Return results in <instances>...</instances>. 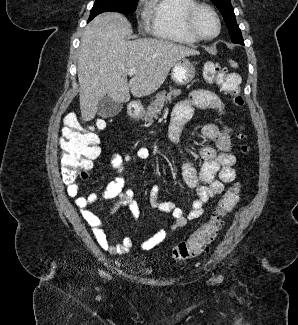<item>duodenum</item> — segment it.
<instances>
[{
    "label": "duodenum",
    "mask_w": 298,
    "mask_h": 325,
    "mask_svg": "<svg viewBox=\"0 0 298 325\" xmlns=\"http://www.w3.org/2000/svg\"><path fill=\"white\" fill-rule=\"evenodd\" d=\"M139 112V106L135 103L129 105V114L131 116H136Z\"/></svg>",
    "instance_id": "duodenum-1"
}]
</instances>
